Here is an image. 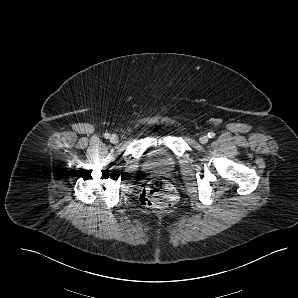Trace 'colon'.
I'll use <instances>...</instances> for the list:
<instances>
[{"mask_svg": "<svg viewBox=\"0 0 298 298\" xmlns=\"http://www.w3.org/2000/svg\"><path fill=\"white\" fill-rule=\"evenodd\" d=\"M175 200L176 193L173 186L162 178L151 180L140 194L142 205L153 209L169 208Z\"/></svg>", "mask_w": 298, "mask_h": 298, "instance_id": "5ec220e1", "label": "colon"}]
</instances>
